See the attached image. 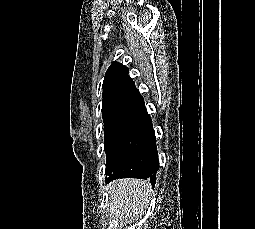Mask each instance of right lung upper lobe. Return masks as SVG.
<instances>
[{
	"instance_id": "1",
	"label": "right lung upper lobe",
	"mask_w": 255,
	"mask_h": 229,
	"mask_svg": "<svg viewBox=\"0 0 255 229\" xmlns=\"http://www.w3.org/2000/svg\"><path fill=\"white\" fill-rule=\"evenodd\" d=\"M128 72L129 69L126 66L115 61L105 74L102 99L104 123L144 105V99Z\"/></svg>"
}]
</instances>
